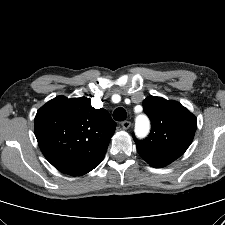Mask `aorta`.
I'll list each match as a JSON object with an SVG mask.
<instances>
[{"label":"aorta","instance_id":"1","mask_svg":"<svg viewBox=\"0 0 225 225\" xmlns=\"http://www.w3.org/2000/svg\"><path fill=\"white\" fill-rule=\"evenodd\" d=\"M138 136H145L149 131V121L145 116H139L136 120L135 127Z\"/></svg>","mask_w":225,"mask_h":225}]
</instances>
